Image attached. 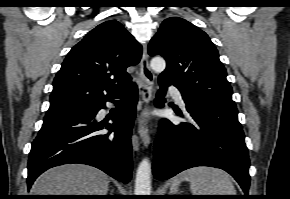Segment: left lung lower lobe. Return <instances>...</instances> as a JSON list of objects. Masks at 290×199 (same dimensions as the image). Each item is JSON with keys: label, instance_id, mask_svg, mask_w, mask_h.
I'll list each match as a JSON object with an SVG mask.
<instances>
[{"label": "left lung lower lobe", "instance_id": "0a47b994", "mask_svg": "<svg viewBox=\"0 0 290 199\" xmlns=\"http://www.w3.org/2000/svg\"><path fill=\"white\" fill-rule=\"evenodd\" d=\"M158 81L160 90L155 105L163 107L170 84ZM182 97L190 121L173 124L164 119L161 122V134L154 144L155 178L169 179L196 166L221 168L236 179L248 198L250 164L237 109L195 96Z\"/></svg>", "mask_w": 290, "mask_h": 199}]
</instances>
